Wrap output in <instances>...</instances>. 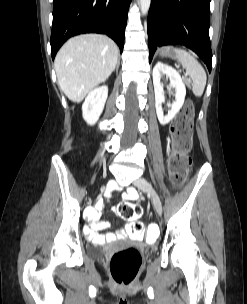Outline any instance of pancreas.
Segmentation results:
<instances>
[{
    "label": "pancreas",
    "instance_id": "1",
    "mask_svg": "<svg viewBox=\"0 0 247 304\" xmlns=\"http://www.w3.org/2000/svg\"><path fill=\"white\" fill-rule=\"evenodd\" d=\"M185 81H186L188 87H190L189 80H188V79H185Z\"/></svg>",
    "mask_w": 247,
    "mask_h": 304
}]
</instances>
